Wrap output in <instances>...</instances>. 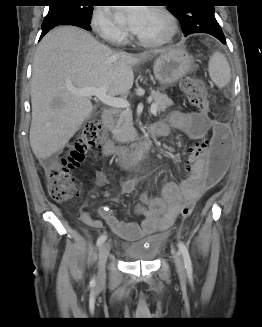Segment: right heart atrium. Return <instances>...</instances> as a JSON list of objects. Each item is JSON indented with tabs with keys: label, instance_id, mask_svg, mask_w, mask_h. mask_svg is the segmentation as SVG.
Returning a JSON list of instances; mask_svg holds the SVG:
<instances>
[{
	"label": "right heart atrium",
	"instance_id": "1",
	"mask_svg": "<svg viewBox=\"0 0 262 327\" xmlns=\"http://www.w3.org/2000/svg\"><path fill=\"white\" fill-rule=\"evenodd\" d=\"M90 24L104 41L121 45L127 40L126 31L113 19L107 7H97L91 15Z\"/></svg>",
	"mask_w": 262,
	"mask_h": 327
}]
</instances>
